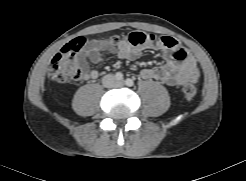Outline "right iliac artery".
<instances>
[{
	"instance_id": "1",
	"label": "right iliac artery",
	"mask_w": 246,
	"mask_h": 181,
	"mask_svg": "<svg viewBox=\"0 0 246 181\" xmlns=\"http://www.w3.org/2000/svg\"><path fill=\"white\" fill-rule=\"evenodd\" d=\"M115 78L118 80V81H121L123 79V74L121 72H117L116 75H115Z\"/></svg>"
}]
</instances>
